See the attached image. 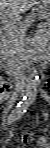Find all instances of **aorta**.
Instances as JSON below:
<instances>
[{
	"instance_id": "aorta-1",
	"label": "aorta",
	"mask_w": 50,
	"mask_h": 148,
	"mask_svg": "<svg viewBox=\"0 0 50 148\" xmlns=\"http://www.w3.org/2000/svg\"><path fill=\"white\" fill-rule=\"evenodd\" d=\"M39 80V76L36 70H32L29 74L27 86H26V93L23 98V103L28 104L32 102L37 93V83Z\"/></svg>"
}]
</instances>
